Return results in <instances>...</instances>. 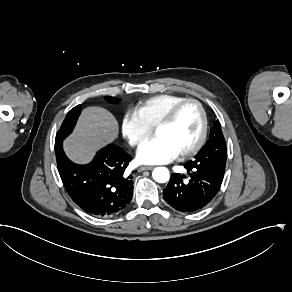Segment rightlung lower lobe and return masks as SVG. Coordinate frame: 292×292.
<instances>
[{"label":"right lung lower lobe","mask_w":292,"mask_h":292,"mask_svg":"<svg viewBox=\"0 0 292 292\" xmlns=\"http://www.w3.org/2000/svg\"><path fill=\"white\" fill-rule=\"evenodd\" d=\"M55 143L57 167L71 199L86 213L108 217L125 209L133 195L131 175L125 172L132 157L121 147L109 144L93 161L78 165Z\"/></svg>","instance_id":"1"}]
</instances>
